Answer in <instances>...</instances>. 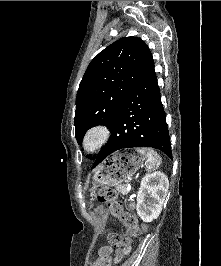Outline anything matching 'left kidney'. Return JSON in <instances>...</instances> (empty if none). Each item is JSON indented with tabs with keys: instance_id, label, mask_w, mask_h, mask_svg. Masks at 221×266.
Listing matches in <instances>:
<instances>
[{
	"instance_id": "obj_1",
	"label": "left kidney",
	"mask_w": 221,
	"mask_h": 266,
	"mask_svg": "<svg viewBox=\"0 0 221 266\" xmlns=\"http://www.w3.org/2000/svg\"><path fill=\"white\" fill-rule=\"evenodd\" d=\"M169 189L168 177L160 172L146 174L137 192V214L144 222L157 219Z\"/></svg>"
}]
</instances>
